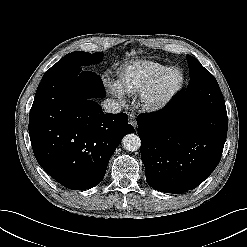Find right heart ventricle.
I'll use <instances>...</instances> for the list:
<instances>
[{"label":"right heart ventricle","mask_w":247,"mask_h":247,"mask_svg":"<svg viewBox=\"0 0 247 247\" xmlns=\"http://www.w3.org/2000/svg\"><path fill=\"white\" fill-rule=\"evenodd\" d=\"M167 68L170 67L151 60L132 62L119 71L117 87L125 93L143 92L156 76Z\"/></svg>","instance_id":"e07e8e85"}]
</instances>
